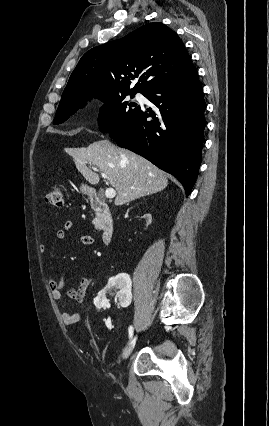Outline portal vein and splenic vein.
<instances>
[{"instance_id": "obj_1", "label": "portal vein and splenic vein", "mask_w": 269, "mask_h": 426, "mask_svg": "<svg viewBox=\"0 0 269 426\" xmlns=\"http://www.w3.org/2000/svg\"><path fill=\"white\" fill-rule=\"evenodd\" d=\"M92 169L94 171H98L96 167H92ZM101 175L104 179H107V175L105 173L101 172ZM105 196L106 198H109V199L114 198L116 196V191L114 190V188L109 187L105 190Z\"/></svg>"}]
</instances>
